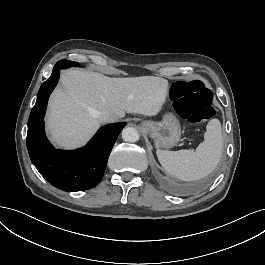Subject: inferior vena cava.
<instances>
[{"mask_svg":"<svg viewBox=\"0 0 265 265\" xmlns=\"http://www.w3.org/2000/svg\"><path fill=\"white\" fill-rule=\"evenodd\" d=\"M98 120H99L101 123H104V122H113V121H115L116 119H115L113 116H111V115H109V114H107V113H102V114L99 116Z\"/></svg>","mask_w":265,"mask_h":265,"instance_id":"1","label":"inferior vena cava"}]
</instances>
